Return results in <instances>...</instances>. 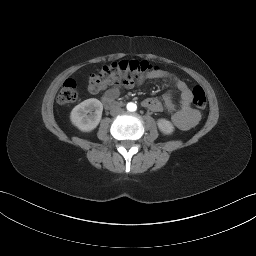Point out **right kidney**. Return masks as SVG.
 <instances>
[{"label": "right kidney", "mask_w": 256, "mask_h": 256, "mask_svg": "<svg viewBox=\"0 0 256 256\" xmlns=\"http://www.w3.org/2000/svg\"><path fill=\"white\" fill-rule=\"evenodd\" d=\"M102 111V103L98 99L90 98L72 109L70 120L79 130L90 132L98 126L102 117Z\"/></svg>", "instance_id": "right-kidney-1"}]
</instances>
